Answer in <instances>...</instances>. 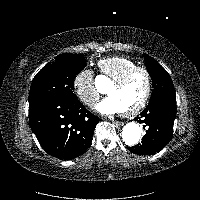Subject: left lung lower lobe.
I'll use <instances>...</instances> for the list:
<instances>
[{"label": "left lung lower lobe", "instance_id": "0a47b994", "mask_svg": "<svg viewBox=\"0 0 200 200\" xmlns=\"http://www.w3.org/2000/svg\"><path fill=\"white\" fill-rule=\"evenodd\" d=\"M175 117V94L163 93L151 98L140 117L136 118L145 124L146 135L141 143L128 149L140 155H151L161 150L172 138Z\"/></svg>", "mask_w": 200, "mask_h": 200}]
</instances>
